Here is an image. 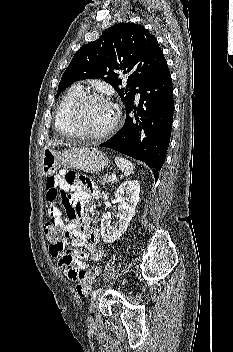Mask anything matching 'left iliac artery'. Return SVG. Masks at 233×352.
<instances>
[{"label": "left iliac artery", "mask_w": 233, "mask_h": 352, "mask_svg": "<svg viewBox=\"0 0 233 352\" xmlns=\"http://www.w3.org/2000/svg\"><path fill=\"white\" fill-rule=\"evenodd\" d=\"M103 288H99L93 292V297H96L100 292H102Z\"/></svg>", "instance_id": "obj_1"}]
</instances>
